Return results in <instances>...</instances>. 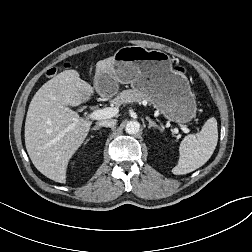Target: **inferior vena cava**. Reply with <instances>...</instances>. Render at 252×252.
Instances as JSON below:
<instances>
[{
	"label": "inferior vena cava",
	"instance_id": "602c4592",
	"mask_svg": "<svg viewBox=\"0 0 252 252\" xmlns=\"http://www.w3.org/2000/svg\"><path fill=\"white\" fill-rule=\"evenodd\" d=\"M117 123L116 119H106V120H101L97 122L98 126H104V127H114Z\"/></svg>",
	"mask_w": 252,
	"mask_h": 252
}]
</instances>
